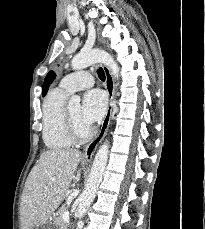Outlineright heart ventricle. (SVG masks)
<instances>
[{
	"label": "right heart ventricle",
	"mask_w": 205,
	"mask_h": 229,
	"mask_svg": "<svg viewBox=\"0 0 205 229\" xmlns=\"http://www.w3.org/2000/svg\"><path fill=\"white\" fill-rule=\"evenodd\" d=\"M69 94L56 88L48 93L42 105V137L47 148L61 150L70 147L73 141L65 131L64 110Z\"/></svg>",
	"instance_id": "obj_1"
}]
</instances>
